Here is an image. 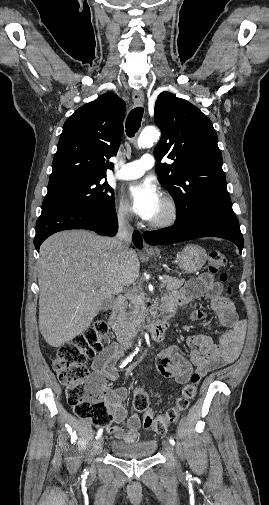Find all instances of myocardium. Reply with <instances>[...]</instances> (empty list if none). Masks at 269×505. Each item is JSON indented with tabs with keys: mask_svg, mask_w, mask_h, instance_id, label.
Segmentation results:
<instances>
[{
	"mask_svg": "<svg viewBox=\"0 0 269 505\" xmlns=\"http://www.w3.org/2000/svg\"><path fill=\"white\" fill-rule=\"evenodd\" d=\"M162 201L166 207V214L159 219L150 220L148 226L151 228L161 229L169 227L173 225L179 217V208L173 197L164 194L162 196Z\"/></svg>",
	"mask_w": 269,
	"mask_h": 505,
	"instance_id": "obj_1",
	"label": "myocardium"
}]
</instances>
